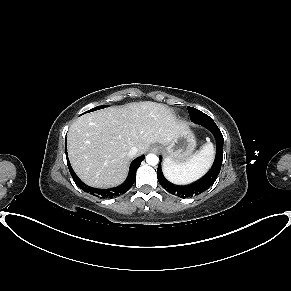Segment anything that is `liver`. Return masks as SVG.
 Here are the masks:
<instances>
[{"mask_svg": "<svg viewBox=\"0 0 291 291\" xmlns=\"http://www.w3.org/2000/svg\"><path fill=\"white\" fill-rule=\"evenodd\" d=\"M187 129L166 105L144 101L109 107L79 117L67 136L71 165L86 184L106 188L126 177L130 157L144 154L151 144L168 145Z\"/></svg>", "mask_w": 291, "mask_h": 291, "instance_id": "6515ba94", "label": "liver"}]
</instances>
